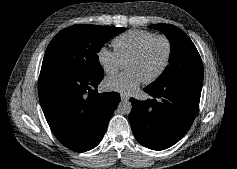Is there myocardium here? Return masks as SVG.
Here are the masks:
<instances>
[{
  "mask_svg": "<svg viewBox=\"0 0 237 169\" xmlns=\"http://www.w3.org/2000/svg\"><path fill=\"white\" fill-rule=\"evenodd\" d=\"M156 39H162L165 44H166V55H165V58H164V61L161 65V67L159 68V70L154 74L152 75L151 77L143 80L142 82L144 84H151L153 82H155L156 80H158L162 75L163 73L166 71L168 65H169V62H170V58H171V55H172V44H171V41L170 39L166 36V35H163V34H155L154 36L148 38L132 55H130L128 57V59L126 60V64L131 61V60H135V59H138L139 57H141L143 55V53L145 52V50L147 49V47L150 45L151 42H153L154 40Z\"/></svg>",
  "mask_w": 237,
  "mask_h": 169,
  "instance_id": "obj_1",
  "label": "myocardium"
}]
</instances>
